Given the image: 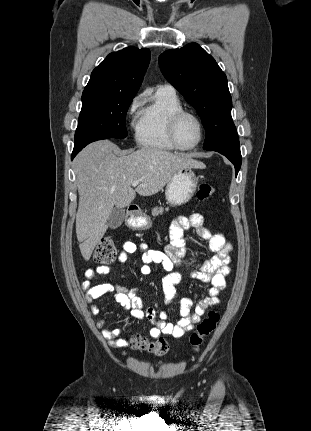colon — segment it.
<instances>
[{
  "label": "colon",
  "instance_id": "colon-1",
  "mask_svg": "<svg viewBox=\"0 0 311 431\" xmlns=\"http://www.w3.org/2000/svg\"><path fill=\"white\" fill-rule=\"evenodd\" d=\"M215 194V189L208 183L202 182L197 191L200 201L210 200ZM116 247L110 238H103L97 245L93 260L97 263H111L116 258ZM219 321L218 313L211 311L208 316L198 324L197 330L190 336V343L195 351H199L204 338L208 336ZM130 348L138 351L149 352L155 355H164L169 351V344L164 339L149 340L141 335H132L128 341Z\"/></svg>",
  "mask_w": 311,
  "mask_h": 431
}]
</instances>
